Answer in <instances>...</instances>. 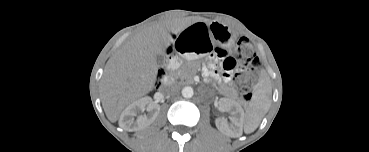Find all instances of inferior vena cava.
Listing matches in <instances>:
<instances>
[{"label": "inferior vena cava", "instance_id": "obj_1", "mask_svg": "<svg viewBox=\"0 0 369 152\" xmlns=\"http://www.w3.org/2000/svg\"><path fill=\"white\" fill-rule=\"evenodd\" d=\"M163 90L165 94H175L178 91V85L174 82H171L163 87Z\"/></svg>", "mask_w": 369, "mask_h": 152}]
</instances>
